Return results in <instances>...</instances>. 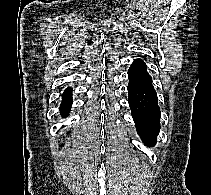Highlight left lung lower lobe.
<instances>
[{
    "label": "left lung lower lobe",
    "mask_w": 211,
    "mask_h": 195,
    "mask_svg": "<svg viewBox=\"0 0 211 195\" xmlns=\"http://www.w3.org/2000/svg\"><path fill=\"white\" fill-rule=\"evenodd\" d=\"M128 76V102L136 129L145 145L153 146L160 130V109L152 78L141 59L132 63Z\"/></svg>",
    "instance_id": "obj_1"
}]
</instances>
